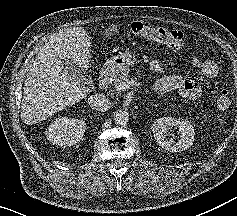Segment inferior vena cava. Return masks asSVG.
I'll list each match as a JSON object with an SVG mask.
<instances>
[{"mask_svg":"<svg viewBox=\"0 0 237 216\" xmlns=\"http://www.w3.org/2000/svg\"><path fill=\"white\" fill-rule=\"evenodd\" d=\"M88 104L100 112H106L111 107L110 99L100 94L90 96L88 98Z\"/></svg>","mask_w":237,"mask_h":216,"instance_id":"1","label":"inferior vena cava"}]
</instances>
